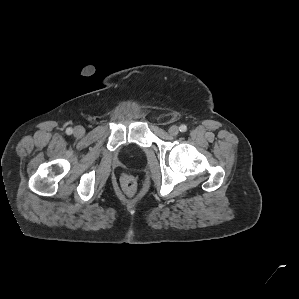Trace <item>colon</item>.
<instances>
[{
	"instance_id": "colon-1",
	"label": "colon",
	"mask_w": 299,
	"mask_h": 299,
	"mask_svg": "<svg viewBox=\"0 0 299 299\" xmlns=\"http://www.w3.org/2000/svg\"><path fill=\"white\" fill-rule=\"evenodd\" d=\"M120 184L122 188L132 194L136 190V180L134 176L130 173H124L120 178Z\"/></svg>"
}]
</instances>
